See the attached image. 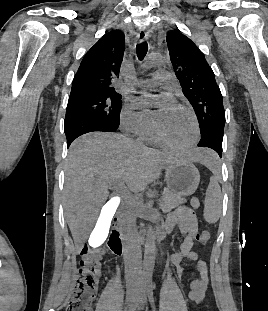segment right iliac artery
<instances>
[{
    "label": "right iliac artery",
    "mask_w": 268,
    "mask_h": 311,
    "mask_svg": "<svg viewBox=\"0 0 268 311\" xmlns=\"http://www.w3.org/2000/svg\"><path fill=\"white\" fill-rule=\"evenodd\" d=\"M145 287H146V282H143L142 289H145ZM138 302H139V297L136 298V300L134 301L133 305L131 306V308L128 311H136Z\"/></svg>",
    "instance_id": "right-iliac-artery-1"
}]
</instances>
